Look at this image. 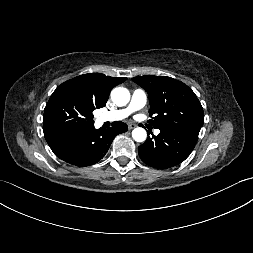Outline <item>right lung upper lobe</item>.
<instances>
[{
    "mask_svg": "<svg viewBox=\"0 0 253 253\" xmlns=\"http://www.w3.org/2000/svg\"><path fill=\"white\" fill-rule=\"evenodd\" d=\"M125 77H110L101 73H89L70 79L65 84L74 86L96 107L105 106L113 87L123 83Z\"/></svg>",
    "mask_w": 253,
    "mask_h": 253,
    "instance_id": "1",
    "label": "right lung upper lobe"
}]
</instances>
